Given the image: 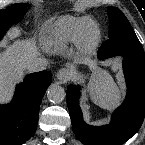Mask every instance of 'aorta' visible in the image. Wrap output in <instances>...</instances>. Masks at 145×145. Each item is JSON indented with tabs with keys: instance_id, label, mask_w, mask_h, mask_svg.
I'll return each instance as SVG.
<instances>
[{
	"instance_id": "aorta-1",
	"label": "aorta",
	"mask_w": 145,
	"mask_h": 145,
	"mask_svg": "<svg viewBox=\"0 0 145 145\" xmlns=\"http://www.w3.org/2000/svg\"><path fill=\"white\" fill-rule=\"evenodd\" d=\"M66 96L64 88L59 85L53 84L48 88L47 98L50 102L56 104L64 100Z\"/></svg>"
}]
</instances>
